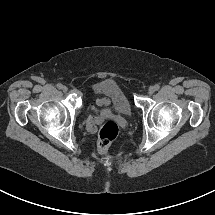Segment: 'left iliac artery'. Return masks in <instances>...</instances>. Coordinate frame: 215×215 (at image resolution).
I'll use <instances>...</instances> for the list:
<instances>
[{
    "instance_id": "obj_1",
    "label": "left iliac artery",
    "mask_w": 215,
    "mask_h": 215,
    "mask_svg": "<svg viewBox=\"0 0 215 215\" xmlns=\"http://www.w3.org/2000/svg\"><path fill=\"white\" fill-rule=\"evenodd\" d=\"M154 88H155V90H159L160 86H159L158 84H156V85L154 86Z\"/></svg>"
}]
</instances>
